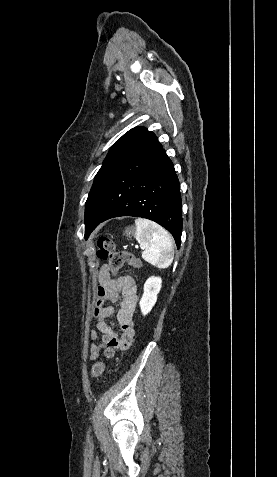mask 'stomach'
<instances>
[{
    "instance_id": "obj_1",
    "label": "stomach",
    "mask_w": 277,
    "mask_h": 477,
    "mask_svg": "<svg viewBox=\"0 0 277 477\" xmlns=\"http://www.w3.org/2000/svg\"><path fill=\"white\" fill-rule=\"evenodd\" d=\"M134 233H135V229H133L132 227L125 229L124 231V235H126L127 237L133 236Z\"/></svg>"
}]
</instances>
